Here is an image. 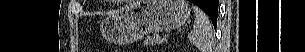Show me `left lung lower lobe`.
<instances>
[{
	"mask_svg": "<svg viewBox=\"0 0 305 52\" xmlns=\"http://www.w3.org/2000/svg\"><path fill=\"white\" fill-rule=\"evenodd\" d=\"M190 2L202 8L206 13L208 11L218 12V0H190ZM213 25L216 28L217 22H213Z\"/></svg>",
	"mask_w": 305,
	"mask_h": 52,
	"instance_id": "0a47b994",
	"label": "left lung lower lobe"
}]
</instances>
